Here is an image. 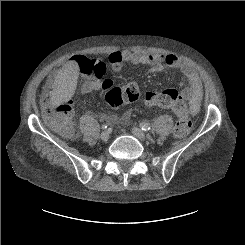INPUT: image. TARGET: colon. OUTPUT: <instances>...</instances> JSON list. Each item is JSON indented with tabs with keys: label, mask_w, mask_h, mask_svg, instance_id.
Listing matches in <instances>:
<instances>
[{
	"label": "colon",
	"mask_w": 245,
	"mask_h": 245,
	"mask_svg": "<svg viewBox=\"0 0 245 245\" xmlns=\"http://www.w3.org/2000/svg\"><path fill=\"white\" fill-rule=\"evenodd\" d=\"M74 61L81 74L96 79L103 78L106 65L102 61L85 56H76ZM138 96L139 85L134 81L122 88L111 86L105 88V101L110 108H119L127 102L135 101ZM145 103L151 107L169 109L176 115L174 133L177 137L183 138L189 134L192 125L189 108L177 90L166 89L148 92L145 95ZM71 105L70 100L54 102L50 95L45 100L46 116L50 127L65 138L70 137L73 132L70 123Z\"/></svg>",
	"instance_id": "obj_1"
}]
</instances>
